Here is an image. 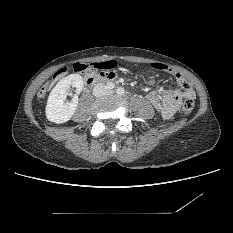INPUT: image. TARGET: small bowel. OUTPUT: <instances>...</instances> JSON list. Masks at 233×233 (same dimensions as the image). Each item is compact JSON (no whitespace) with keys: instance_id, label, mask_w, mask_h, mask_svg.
<instances>
[{"instance_id":"small-bowel-1","label":"small bowel","mask_w":233,"mask_h":233,"mask_svg":"<svg viewBox=\"0 0 233 233\" xmlns=\"http://www.w3.org/2000/svg\"><path fill=\"white\" fill-rule=\"evenodd\" d=\"M92 70L107 71L111 81H115L117 78L116 69L117 62L115 60H106L91 63ZM176 81L179 83L181 80H186L180 73L173 72ZM182 93L171 86L161 85L158 89H154L148 92V102L160 113L164 120H169L173 117L175 112L181 105ZM193 95V93H192Z\"/></svg>"}]
</instances>
